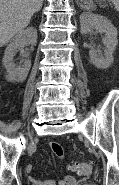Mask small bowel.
Masks as SVG:
<instances>
[{"instance_id": "1", "label": "small bowel", "mask_w": 119, "mask_h": 185, "mask_svg": "<svg viewBox=\"0 0 119 185\" xmlns=\"http://www.w3.org/2000/svg\"><path fill=\"white\" fill-rule=\"evenodd\" d=\"M50 147L52 149L54 156L61 157L63 155V148L59 143L50 142ZM26 169L28 172H31L33 167H32V165H28ZM31 181H32L33 185H73L74 178L72 176L68 175V176H65L63 181H61L59 183H56L53 180L37 179L34 177L31 178Z\"/></svg>"}]
</instances>
